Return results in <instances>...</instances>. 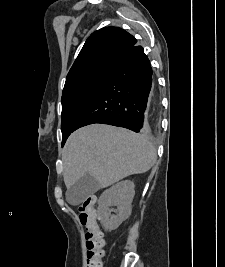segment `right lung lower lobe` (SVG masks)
<instances>
[{
  "mask_svg": "<svg viewBox=\"0 0 225 267\" xmlns=\"http://www.w3.org/2000/svg\"><path fill=\"white\" fill-rule=\"evenodd\" d=\"M154 89L153 71L141 46L124 51L95 95L81 112L73 130L94 123L134 132L147 127L146 110Z\"/></svg>",
  "mask_w": 225,
  "mask_h": 267,
  "instance_id": "98d812e1",
  "label": "right lung lower lobe"
}]
</instances>
